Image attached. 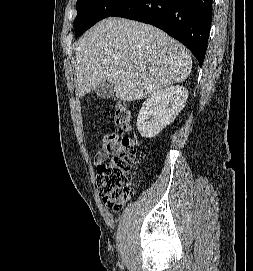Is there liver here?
<instances>
[{
    "label": "liver",
    "mask_w": 253,
    "mask_h": 271,
    "mask_svg": "<svg viewBox=\"0 0 253 271\" xmlns=\"http://www.w3.org/2000/svg\"><path fill=\"white\" fill-rule=\"evenodd\" d=\"M77 95L83 97L102 80L123 101L147 98L187 79L189 51L152 25L108 18L87 31L76 45Z\"/></svg>",
    "instance_id": "1"
}]
</instances>
